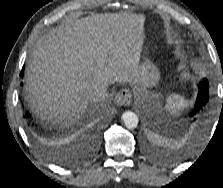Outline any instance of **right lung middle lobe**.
<instances>
[{"instance_id": "dd1d6c3e", "label": "right lung middle lobe", "mask_w": 223, "mask_h": 188, "mask_svg": "<svg viewBox=\"0 0 223 188\" xmlns=\"http://www.w3.org/2000/svg\"><path fill=\"white\" fill-rule=\"evenodd\" d=\"M61 164H65V163H67V161H64V160H62V161H59Z\"/></svg>"}]
</instances>
